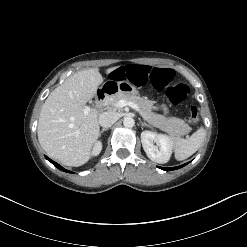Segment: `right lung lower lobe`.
Here are the masks:
<instances>
[{
	"label": "right lung lower lobe",
	"mask_w": 247,
	"mask_h": 247,
	"mask_svg": "<svg viewBox=\"0 0 247 247\" xmlns=\"http://www.w3.org/2000/svg\"><path fill=\"white\" fill-rule=\"evenodd\" d=\"M47 160H49L55 167H57L58 169L64 171V172H68V173H72L69 170L64 169L62 166H60L58 163L54 162L53 160L49 159L47 156H45Z\"/></svg>",
	"instance_id": "obj_1"
}]
</instances>
